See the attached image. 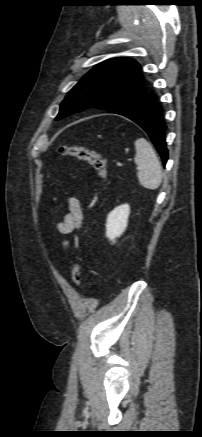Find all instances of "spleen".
Listing matches in <instances>:
<instances>
[{"label": "spleen", "mask_w": 202, "mask_h": 437, "mask_svg": "<svg viewBox=\"0 0 202 437\" xmlns=\"http://www.w3.org/2000/svg\"><path fill=\"white\" fill-rule=\"evenodd\" d=\"M135 163L139 171L137 177L140 184L150 190L157 189L162 182V168L151 144L144 138L135 142Z\"/></svg>", "instance_id": "obj_1"}]
</instances>
